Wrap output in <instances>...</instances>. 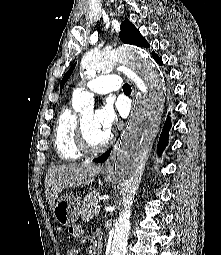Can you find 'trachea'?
Wrapping results in <instances>:
<instances>
[{"mask_svg":"<svg viewBox=\"0 0 221 255\" xmlns=\"http://www.w3.org/2000/svg\"><path fill=\"white\" fill-rule=\"evenodd\" d=\"M123 91L125 93H131V86L129 84H124L123 85Z\"/></svg>","mask_w":221,"mask_h":255,"instance_id":"3493384b","label":"trachea"}]
</instances>
